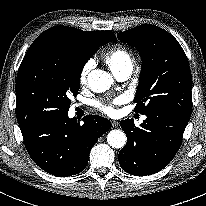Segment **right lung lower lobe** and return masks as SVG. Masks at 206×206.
<instances>
[{
  "mask_svg": "<svg viewBox=\"0 0 206 206\" xmlns=\"http://www.w3.org/2000/svg\"><path fill=\"white\" fill-rule=\"evenodd\" d=\"M83 120L84 124L80 125L76 118L65 115L21 129L33 161L55 176L66 177L83 171L91 148L111 128L109 120L97 115H88Z\"/></svg>",
  "mask_w": 206,
  "mask_h": 206,
  "instance_id": "right-lung-lower-lobe-1",
  "label": "right lung lower lobe"
}]
</instances>
